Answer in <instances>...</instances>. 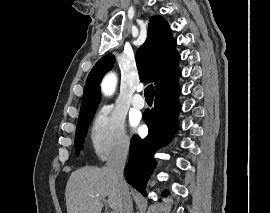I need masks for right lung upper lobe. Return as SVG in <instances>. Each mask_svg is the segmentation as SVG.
Segmentation results:
<instances>
[{
  "mask_svg": "<svg viewBox=\"0 0 270 213\" xmlns=\"http://www.w3.org/2000/svg\"><path fill=\"white\" fill-rule=\"evenodd\" d=\"M176 44L167 22L161 16L152 17L147 40L136 54L142 81L154 82L156 89L179 72L177 66L180 55L175 49ZM114 61L115 57L108 54L92 68L86 80L79 118L95 113L101 96L99 83L104 74L113 67Z\"/></svg>",
  "mask_w": 270,
  "mask_h": 213,
  "instance_id": "right-lung-upper-lobe-1",
  "label": "right lung upper lobe"
}]
</instances>
